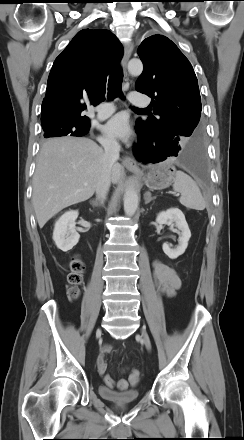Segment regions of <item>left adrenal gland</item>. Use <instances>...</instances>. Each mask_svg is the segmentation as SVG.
<instances>
[{
  "instance_id": "1",
  "label": "left adrenal gland",
  "mask_w": 244,
  "mask_h": 440,
  "mask_svg": "<svg viewBox=\"0 0 244 440\" xmlns=\"http://www.w3.org/2000/svg\"><path fill=\"white\" fill-rule=\"evenodd\" d=\"M154 199H156V197H151V193H150V192H147V193L144 195L145 204L150 203V202H151L152 200H154Z\"/></svg>"
}]
</instances>
